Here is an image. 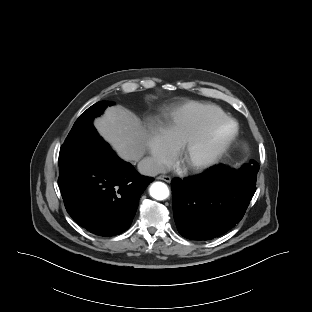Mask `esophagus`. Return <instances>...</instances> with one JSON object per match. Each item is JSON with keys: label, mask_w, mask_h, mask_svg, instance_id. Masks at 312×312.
Masks as SVG:
<instances>
[{"label": "esophagus", "mask_w": 312, "mask_h": 312, "mask_svg": "<svg viewBox=\"0 0 312 312\" xmlns=\"http://www.w3.org/2000/svg\"><path fill=\"white\" fill-rule=\"evenodd\" d=\"M157 179L163 180V181H165V182H167V183H170V182H171V177L166 176V175L158 176Z\"/></svg>", "instance_id": "esophagus-1"}]
</instances>
